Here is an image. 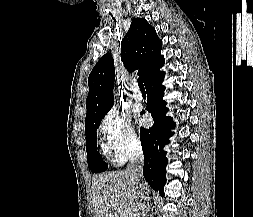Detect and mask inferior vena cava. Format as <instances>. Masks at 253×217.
Wrapping results in <instances>:
<instances>
[{"label": "inferior vena cava", "mask_w": 253, "mask_h": 217, "mask_svg": "<svg viewBox=\"0 0 253 217\" xmlns=\"http://www.w3.org/2000/svg\"><path fill=\"white\" fill-rule=\"evenodd\" d=\"M142 169H143V151L141 145L138 144L130 154V160L127 166V171L131 174V177L134 181V193L138 196V205L139 209H141V214L138 217H146L147 215V202H146V185L144 184L143 180L140 179L142 176ZM142 215V216H140Z\"/></svg>", "instance_id": "1"}]
</instances>
